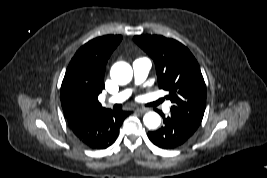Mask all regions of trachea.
Returning a JSON list of instances; mask_svg holds the SVG:
<instances>
[{
  "label": "trachea",
  "mask_w": 267,
  "mask_h": 178,
  "mask_svg": "<svg viewBox=\"0 0 267 178\" xmlns=\"http://www.w3.org/2000/svg\"><path fill=\"white\" fill-rule=\"evenodd\" d=\"M162 101L161 100H158L155 104L157 105V104H159V103H161Z\"/></svg>",
  "instance_id": "obj_1"
}]
</instances>
